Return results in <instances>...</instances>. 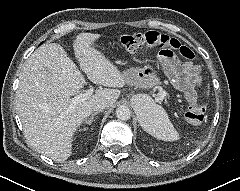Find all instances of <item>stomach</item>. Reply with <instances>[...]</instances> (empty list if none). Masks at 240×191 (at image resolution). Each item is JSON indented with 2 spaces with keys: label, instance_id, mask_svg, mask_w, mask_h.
Listing matches in <instances>:
<instances>
[{
  "label": "stomach",
  "instance_id": "stomach-1",
  "mask_svg": "<svg viewBox=\"0 0 240 191\" xmlns=\"http://www.w3.org/2000/svg\"><path fill=\"white\" fill-rule=\"evenodd\" d=\"M124 81L128 85H134L142 88H152L159 85L160 78L157 76V71L152 65H146L143 68H130L122 72ZM136 112L141 124L146 108L136 106Z\"/></svg>",
  "mask_w": 240,
  "mask_h": 191
}]
</instances>
